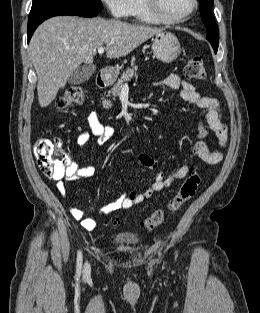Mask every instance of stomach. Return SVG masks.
Returning <instances> with one entry per match:
<instances>
[{
	"mask_svg": "<svg viewBox=\"0 0 260 313\" xmlns=\"http://www.w3.org/2000/svg\"><path fill=\"white\" fill-rule=\"evenodd\" d=\"M152 51L158 60L170 63L180 55L181 46L174 34L163 31L156 34L153 39Z\"/></svg>",
	"mask_w": 260,
	"mask_h": 313,
	"instance_id": "stomach-1",
	"label": "stomach"
}]
</instances>
